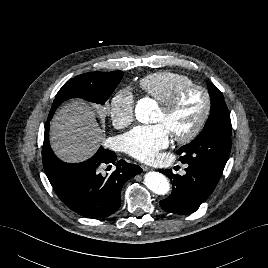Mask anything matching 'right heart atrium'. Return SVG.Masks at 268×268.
I'll use <instances>...</instances> for the list:
<instances>
[{
	"label": "right heart atrium",
	"mask_w": 268,
	"mask_h": 268,
	"mask_svg": "<svg viewBox=\"0 0 268 268\" xmlns=\"http://www.w3.org/2000/svg\"><path fill=\"white\" fill-rule=\"evenodd\" d=\"M135 98L128 88L119 89L109 103V115L119 127L130 125L134 121Z\"/></svg>",
	"instance_id": "obj_1"
}]
</instances>
